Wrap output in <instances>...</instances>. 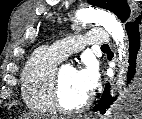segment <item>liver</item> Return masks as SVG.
<instances>
[{"label":"liver","mask_w":142,"mask_h":119,"mask_svg":"<svg viewBox=\"0 0 142 119\" xmlns=\"http://www.w3.org/2000/svg\"><path fill=\"white\" fill-rule=\"evenodd\" d=\"M23 117H24V119H30V116H29V115H24ZM33 118H34V119H42V118H44V117H42V116H33ZM51 118H53V117H51Z\"/></svg>","instance_id":"liver-1"}]
</instances>
